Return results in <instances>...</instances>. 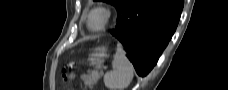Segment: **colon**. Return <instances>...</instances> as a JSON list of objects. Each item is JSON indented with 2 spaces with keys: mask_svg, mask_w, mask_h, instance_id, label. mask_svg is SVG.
Wrapping results in <instances>:
<instances>
[{
  "mask_svg": "<svg viewBox=\"0 0 228 90\" xmlns=\"http://www.w3.org/2000/svg\"><path fill=\"white\" fill-rule=\"evenodd\" d=\"M71 67V65L68 66L67 70Z\"/></svg>",
  "mask_w": 228,
  "mask_h": 90,
  "instance_id": "obj_1",
  "label": "colon"
}]
</instances>
